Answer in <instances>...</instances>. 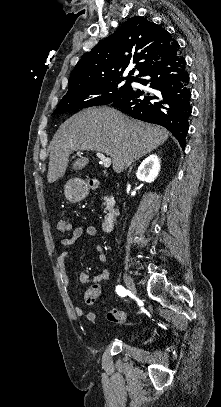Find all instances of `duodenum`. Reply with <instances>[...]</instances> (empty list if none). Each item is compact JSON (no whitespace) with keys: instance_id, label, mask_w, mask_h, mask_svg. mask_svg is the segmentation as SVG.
Here are the masks:
<instances>
[{"instance_id":"duodenum-1","label":"duodenum","mask_w":221,"mask_h":407,"mask_svg":"<svg viewBox=\"0 0 221 407\" xmlns=\"http://www.w3.org/2000/svg\"><path fill=\"white\" fill-rule=\"evenodd\" d=\"M90 187L99 188L100 184L90 183ZM110 204H111V206L103 221V227L105 230H109V228L112 226V224L114 223V221L120 214V209L116 206V202H115L114 198H110Z\"/></svg>"}]
</instances>
